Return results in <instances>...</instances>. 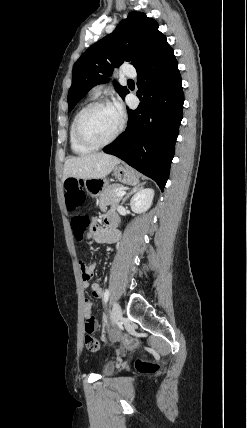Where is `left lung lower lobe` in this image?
Instances as JSON below:
<instances>
[{
	"mask_svg": "<svg viewBox=\"0 0 247 428\" xmlns=\"http://www.w3.org/2000/svg\"><path fill=\"white\" fill-rule=\"evenodd\" d=\"M137 74L141 103L128 109L125 132L103 151L152 178L163 191L183 118L184 94L173 49L155 56Z\"/></svg>",
	"mask_w": 247,
	"mask_h": 428,
	"instance_id": "1",
	"label": "left lung lower lobe"
}]
</instances>
